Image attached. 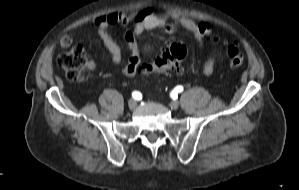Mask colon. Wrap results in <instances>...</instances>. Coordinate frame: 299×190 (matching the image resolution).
Here are the masks:
<instances>
[{
	"instance_id": "obj_1",
	"label": "colon",
	"mask_w": 299,
	"mask_h": 190,
	"mask_svg": "<svg viewBox=\"0 0 299 190\" xmlns=\"http://www.w3.org/2000/svg\"><path fill=\"white\" fill-rule=\"evenodd\" d=\"M222 43L227 49L229 66L231 68L240 67L244 63L243 54L231 41L224 40ZM186 56L187 47L180 42H174L156 55L150 63L145 64L140 73L143 76H148L155 73L166 74L172 70L180 72ZM58 62L69 80L73 82L84 80L87 55L81 45H73L68 52L59 57Z\"/></svg>"
}]
</instances>
